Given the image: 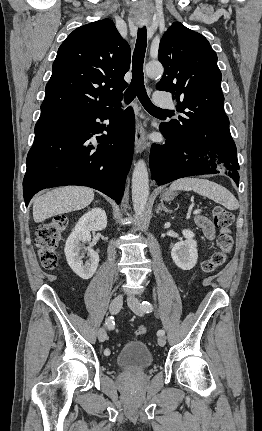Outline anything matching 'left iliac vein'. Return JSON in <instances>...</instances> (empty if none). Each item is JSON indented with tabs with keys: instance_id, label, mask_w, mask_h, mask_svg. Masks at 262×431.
<instances>
[{
	"instance_id": "4c4485c4",
	"label": "left iliac vein",
	"mask_w": 262,
	"mask_h": 431,
	"mask_svg": "<svg viewBox=\"0 0 262 431\" xmlns=\"http://www.w3.org/2000/svg\"><path fill=\"white\" fill-rule=\"evenodd\" d=\"M127 303L128 306L130 307V309L137 314L138 316H142L143 312H142V308L140 306V302L139 300L134 297L133 295H130L127 299ZM166 344V338L165 336H159L158 337V345L163 347Z\"/></svg>"
}]
</instances>
